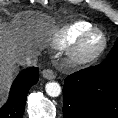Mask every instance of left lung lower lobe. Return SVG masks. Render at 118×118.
<instances>
[{
  "instance_id": "0a47b994",
  "label": "left lung lower lobe",
  "mask_w": 118,
  "mask_h": 118,
  "mask_svg": "<svg viewBox=\"0 0 118 118\" xmlns=\"http://www.w3.org/2000/svg\"><path fill=\"white\" fill-rule=\"evenodd\" d=\"M64 118H118V57L66 77Z\"/></svg>"
}]
</instances>
